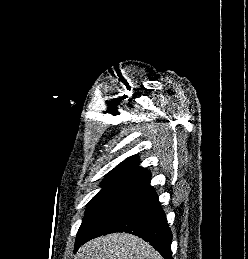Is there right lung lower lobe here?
I'll list each match as a JSON object with an SVG mask.
<instances>
[{"label": "right lung lower lobe", "mask_w": 248, "mask_h": 259, "mask_svg": "<svg viewBox=\"0 0 248 259\" xmlns=\"http://www.w3.org/2000/svg\"><path fill=\"white\" fill-rule=\"evenodd\" d=\"M126 232L143 238L165 258L173 259L172 233L161 208L150 177L132 186L108 210L98 224L80 241L75 252L85 242L101 235Z\"/></svg>", "instance_id": "1"}]
</instances>
